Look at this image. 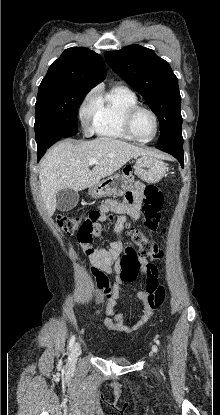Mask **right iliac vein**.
Wrapping results in <instances>:
<instances>
[{
    "instance_id": "obj_1",
    "label": "right iliac vein",
    "mask_w": 220,
    "mask_h": 415,
    "mask_svg": "<svg viewBox=\"0 0 220 415\" xmlns=\"http://www.w3.org/2000/svg\"><path fill=\"white\" fill-rule=\"evenodd\" d=\"M80 353H81V347H80V344H79L78 342H76V343L74 344V346H73V348H72V351H71V354H70V361H71L72 363H75V362H76V360H77V358H78V356L80 355Z\"/></svg>"
}]
</instances>
